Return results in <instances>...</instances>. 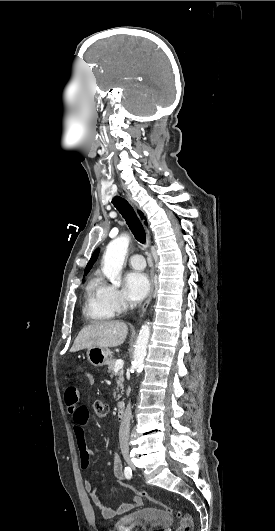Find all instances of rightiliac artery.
<instances>
[{
  "instance_id": "1",
  "label": "right iliac artery",
  "mask_w": 275,
  "mask_h": 531,
  "mask_svg": "<svg viewBox=\"0 0 275 531\" xmlns=\"http://www.w3.org/2000/svg\"><path fill=\"white\" fill-rule=\"evenodd\" d=\"M124 474H125V477H126L127 479H131V477H132V470H131V468L128 467V466L125 467V469H124Z\"/></svg>"
}]
</instances>
